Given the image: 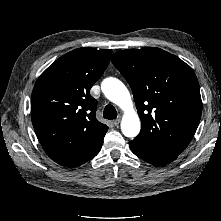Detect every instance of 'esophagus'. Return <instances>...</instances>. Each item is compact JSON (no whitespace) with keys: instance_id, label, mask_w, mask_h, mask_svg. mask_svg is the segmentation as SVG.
I'll return each mask as SVG.
<instances>
[{"instance_id":"obj_1","label":"esophagus","mask_w":221,"mask_h":221,"mask_svg":"<svg viewBox=\"0 0 221 221\" xmlns=\"http://www.w3.org/2000/svg\"><path fill=\"white\" fill-rule=\"evenodd\" d=\"M120 122H121V117H118L117 119H115V120L113 121V124H114L115 126H117V125H119Z\"/></svg>"}]
</instances>
